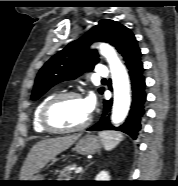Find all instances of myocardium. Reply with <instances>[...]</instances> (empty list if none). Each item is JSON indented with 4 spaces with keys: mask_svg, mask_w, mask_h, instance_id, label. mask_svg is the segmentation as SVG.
<instances>
[{
    "mask_svg": "<svg viewBox=\"0 0 178 186\" xmlns=\"http://www.w3.org/2000/svg\"><path fill=\"white\" fill-rule=\"evenodd\" d=\"M67 98H78L83 99L81 94L75 91H67L55 94L52 96L42 107L40 112V123L42 127L50 133H74L79 132L86 129L92 122V115L89 114V117L86 119L84 123L79 126L72 127V128H59L54 126L49 119V114L51 109L56 105L58 102L67 99Z\"/></svg>",
    "mask_w": 178,
    "mask_h": 186,
    "instance_id": "obj_1",
    "label": "myocardium"
}]
</instances>
